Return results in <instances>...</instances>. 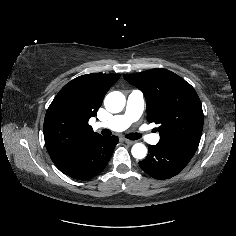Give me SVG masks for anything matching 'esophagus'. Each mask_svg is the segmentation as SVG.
<instances>
[{
  "instance_id": "obj_1",
  "label": "esophagus",
  "mask_w": 236,
  "mask_h": 236,
  "mask_svg": "<svg viewBox=\"0 0 236 236\" xmlns=\"http://www.w3.org/2000/svg\"><path fill=\"white\" fill-rule=\"evenodd\" d=\"M123 141H124L125 143H127V144H130V145H132V144L135 143L134 140H129V139H123Z\"/></svg>"
}]
</instances>
